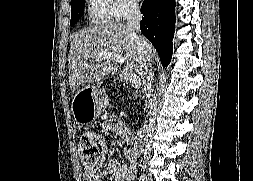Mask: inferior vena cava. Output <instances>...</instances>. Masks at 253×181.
<instances>
[{
	"label": "inferior vena cava",
	"instance_id": "inferior-vena-cava-1",
	"mask_svg": "<svg viewBox=\"0 0 253 181\" xmlns=\"http://www.w3.org/2000/svg\"><path fill=\"white\" fill-rule=\"evenodd\" d=\"M126 18H127V25L131 27L134 31L139 32L140 30V21L142 18L139 5L136 2H132L128 4L126 8ZM137 44L139 51L145 55V61H148L147 57V51H146V41L141 38L137 37ZM150 63L145 64V76L146 79L143 81V85L145 90H147V96L149 98V108H150V121L148 122L149 128L147 130V133L149 134V138L152 136L153 128L156 127L155 121L158 118V112H157V101L154 99L152 94V83H153V77L151 76V71L149 70Z\"/></svg>",
	"mask_w": 253,
	"mask_h": 181
}]
</instances>
